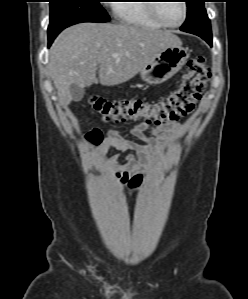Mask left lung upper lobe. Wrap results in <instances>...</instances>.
<instances>
[{
    "label": "left lung upper lobe",
    "mask_w": 248,
    "mask_h": 299,
    "mask_svg": "<svg viewBox=\"0 0 248 299\" xmlns=\"http://www.w3.org/2000/svg\"><path fill=\"white\" fill-rule=\"evenodd\" d=\"M204 1L185 0L188 12L186 21L181 27L182 31L195 35H199V32H205L208 36H212L211 23L204 7Z\"/></svg>",
    "instance_id": "left-lung-upper-lobe-1"
}]
</instances>
